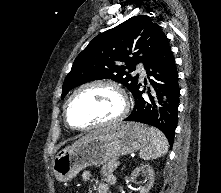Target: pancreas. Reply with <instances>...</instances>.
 <instances>
[{
	"label": "pancreas",
	"instance_id": "1",
	"mask_svg": "<svg viewBox=\"0 0 221 193\" xmlns=\"http://www.w3.org/2000/svg\"><path fill=\"white\" fill-rule=\"evenodd\" d=\"M117 162L118 161L116 159H113V160H110L109 162L105 163L101 168V174L103 176H108L109 174H112L118 166Z\"/></svg>",
	"mask_w": 221,
	"mask_h": 193
}]
</instances>
